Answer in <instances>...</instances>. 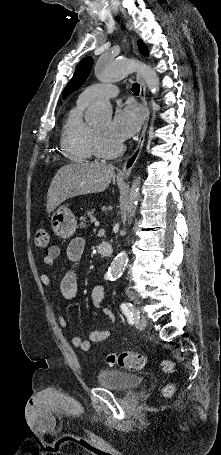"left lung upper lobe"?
Masks as SVG:
<instances>
[{
    "label": "left lung upper lobe",
    "instance_id": "left-lung-upper-lobe-1",
    "mask_svg": "<svg viewBox=\"0 0 221 455\" xmlns=\"http://www.w3.org/2000/svg\"><path fill=\"white\" fill-rule=\"evenodd\" d=\"M138 46L141 54L147 56L149 52L142 40L138 41ZM92 65L93 59L91 57H85L79 62L73 77L63 91V98L74 92L84 83L89 75Z\"/></svg>",
    "mask_w": 221,
    "mask_h": 455
}]
</instances>
